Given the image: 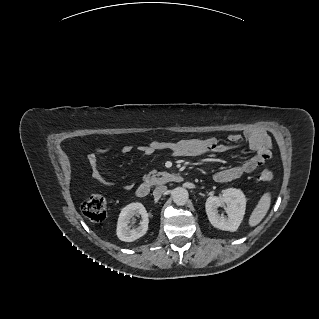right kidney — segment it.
<instances>
[{
  "label": "right kidney",
  "mask_w": 319,
  "mask_h": 319,
  "mask_svg": "<svg viewBox=\"0 0 319 319\" xmlns=\"http://www.w3.org/2000/svg\"><path fill=\"white\" fill-rule=\"evenodd\" d=\"M134 215H140L142 220L140 226L131 228L129 225ZM148 213L139 202H133L125 206L118 217L116 234L121 241L132 242L145 235L148 230Z\"/></svg>",
  "instance_id": "ca27d5eb"
}]
</instances>
